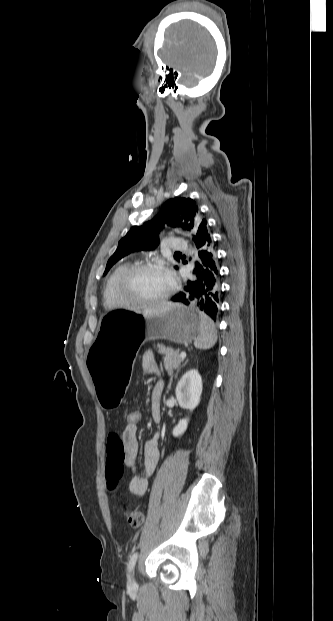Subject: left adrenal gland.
I'll return each instance as SVG.
<instances>
[{
    "label": "left adrenal gland",
    "mask_w": 333,
    "mask_h": 621,
    "mask_svg": "<svg viewBox=\"0 0 333 621\" xmlns=\"http://www.w3.org/2000/svg\"><path fill=\"white\" fill-rule=\"evenodd\" d=\"M185 364H186V362H185L182 366H184ZM179 370H180V368L176 371V373H175V375H174V376H176V375L178 374ZM172 378H173V376H171V378H170V382L172 381Z\"/></svg>",
    "instance_id": "left-adrenal-gland-1"
}]
</instances>
